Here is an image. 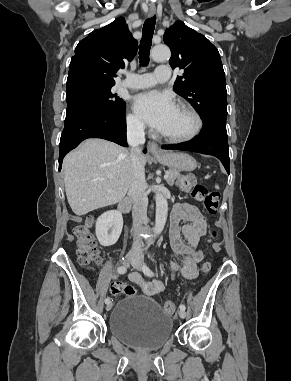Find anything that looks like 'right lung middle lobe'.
Returning a JSON list of instances; mask_svg holds the SVG:
<instances>
[{
    "label": "right lung middle lobe",
    "mask_w": 291,
    "mask_h": 381,
    "mask_svg": "<svg viewBox=\"0 0 291 381\" xmlns=\"http://www.w3.org/2000/svg\"><path fill=\"white\" fill-rule=\"evenodd\" d=\"M114 85L83 77H74L67 80L66 97L74 94L81 95L95 103L102 112L124 111V101L117 94L112 93Z\"/></svg>",
    "instance_id": "obj_1"
}]
</instances>
